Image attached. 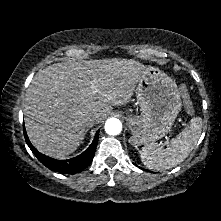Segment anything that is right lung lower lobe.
Listing matches in <instances>:
<instances>
[{
    "label": "right lung lower lobe",
    "mask_w": 221,
    "mask_h": 221,
    "mask_svg": "<svg viewBox=\"0 0 221 221\" xmlns=\"http://www.w3.org/2000/svg\"><path fill=\"white\" fill-rule=\"evenodd\" d=\"M24 136L26 143L33 152V154L46 167L62 174H75L83 171L92 162L98 143L99 133L98 132L96 133L93 142L82 154L67 160L53 159L38 152L34 148V146L30 143L25 128H24Z\"/></svg>",
    "instance_id": "obj_1"
}]
</instances>
